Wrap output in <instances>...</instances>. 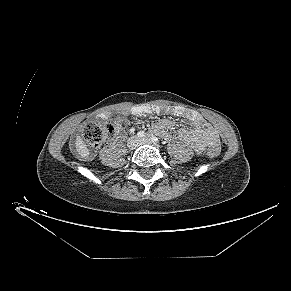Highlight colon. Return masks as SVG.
Wrapping results in <instances>:
<instances>
[{
	"label": "colon",
	"mask_w": 291,
	"mask_h": 291,
	"mask_svg": "<svg viewBox=\"0 0 291 291\" xmlns=\"http://www.w3.org/2000/svg\"><path fill=\"white\" fill-rule=\"evenodd\" d=\"M144 111L136 113L138 118H146L160 112L158 107H144ZM174 116H181L185 114V110L179 107H171L169 111ZM193 116V115H192ZM124 131V127L120 123H111L104 118L98 119L91 129L89 130V136L96 144L105 143L113 138L119 137ZM219 147L211 148L208 150V158L210 161H215L219 155Z\"/></svg>",
	"instance_id": "1"
}]
</instances>
